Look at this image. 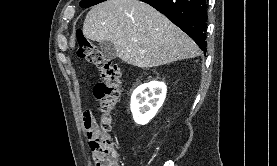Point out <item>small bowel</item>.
I'll return each instance as SVG.
<instances>
[{
  "mask_svg": "<svg viewBox=\"0 0 277 166\" xmlns=\"http://www.w3.org/2000/svg\"><path fill=\"white\" fill-rule=\"evenodd\" d=\"M88 120L91 121V122H93V123L96 122V121H95L94 114H93L92 112H90V111H86V112H84V114H83V123H84V127H85L86 122H87Z\"/></svg>",
  "mask_w": 277,
  "mask_h": 166,
  "instance_id": "small-bowel-1",
  "label": "small bowel"
}]
</instances>
